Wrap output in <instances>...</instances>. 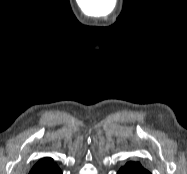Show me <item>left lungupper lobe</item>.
<instances>
[{"instance_id":"5c2ea615","label":"left lung upper lobe","mask_w":187,"mask_h":174,"mask_svg":"<svg viewBox=\"0 0 187 174\" xmlns=\"http://www.w3.org/2000/svg\"><path fill=\"white\" fill-rule=\"evenodd\" d=\"M129 164L134 165V166H141V164L139 162H137V163L129 162Z\"/></svg>"}]
</instances>
